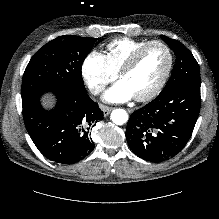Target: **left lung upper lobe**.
Segmentation results:
<instances>
[{
	"instance_id": "1",
	"label": "left lung upper lobe",
	"mask_w": 219,
	"mask_h": 219,
	"mask_svg": "<svg viewBox=\"0 0 219 219\" xmlns=\"http://www.w3.org/2000/svg\"><path fill=\"white\" fill-rule=\"evenodd\" d=\"M161 38L170 46L176 56L171 78L160 94L169 92L173 87L186 81L200 82L199 65L192 53L179 41L164 35Z\"/></svg>"
}]
</instances>
